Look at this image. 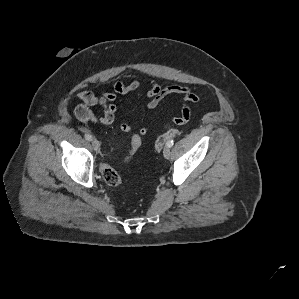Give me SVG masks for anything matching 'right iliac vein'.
Here are the masks:
<instances>
[{
    "mask_svg": "<svg viewBox=\"0 0 299 299\" xmlns=\"http://www.w3.org/2000/svg\"><path fill=\"white\" fill-rule=\"evenodd\" d=\"M91 143H92V146H93L94 150L96 152H99L100 151V143H99V141L97 139H95V138H92Z\"/></svg>",
    "mask_w": 299,
    "mask_h": 299,
    "instance_id": "63e3f726",
    "label": "right iliac vein"
}]
</instances>
